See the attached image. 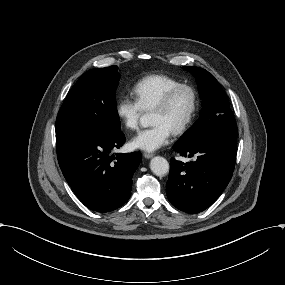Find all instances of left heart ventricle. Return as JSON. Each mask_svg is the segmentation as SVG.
Masks as SVG:
<instances>
[{
	"label": "left heart ventricle",
	"instance_id": "1",
	"mask_svg": "<svg viewBox=\"0 0 285 285\" xmlns=\"http://www.w3.org/2000/svg\"><path fill=\"white\" fill-rule=\"evenodd\" d=\"M191 105V94L187 89L179 90L171 105L167 109H152L150 121L152 123L162 122L171 129L181 121L189 111Z\"/></svg>",
	"mask_w": 285,
	"mask_h": 285
}]
</instances>
